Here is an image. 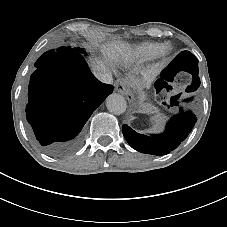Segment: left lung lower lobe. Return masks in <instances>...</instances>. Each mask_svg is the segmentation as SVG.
<instances>
[{
    "mask_svg": "<svg viewBox=\"0 0 227 227\" xmlns=\"http://www.w3.org/2000/svg\"><path fill=\"white\" fill-rule=\"evenodd\" d=\"M195 122L196 117L191 111L184 112L180 109V114L168 122L166 130L161 134L152 136L139 134L127 125L122 126V132L129 145L135 150L161 156L176 149L191 132Z\"/></svg>",
    "mask_w": 227,
    "mask_h": 227,
    "instance_id": "0a47b994",
    "label": "left lung lower lobe"
}]
</instances>
